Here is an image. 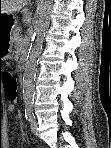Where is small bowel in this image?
<instances>
[{
  "mask_svg": "<svg viewBox=\"0 0 111 148\" xmlns=\"http://www.w3.org/2000/svg\"><path fill=\"white\" fill-rule=\"evenodd\" d=\"M14 109H15L14 104H11V105L8 106V111H9V112H13Z\"/></svg>",
  "mask_w": 111,
  "mask_h": 148,
  "instance_id": "small-bowel-1",
  "label": "small bowel"
}]
</instances>
